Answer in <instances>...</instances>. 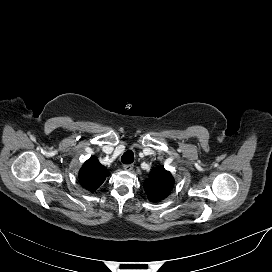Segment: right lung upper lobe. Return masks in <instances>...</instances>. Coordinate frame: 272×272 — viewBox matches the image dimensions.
Masks as SVG:
<instances>
[{
	"label": "right lung upper lobe",
	"mask_w": 272,
	"mask_h": 272,
	"mask_svg": "<svg viewBox=\"0 0 272 272\" xmlns=\"http://www.w3.org/2000/svg\"><path fill=\"white\" fill-rule=\"evenodd\" d=\"M108 175V170L99 163L98 159L90 158L79 171V180L84 188L94 192Z\"/></svg>",
	"instance_id": "right-lung-upper-lobe-1"
}]
</instances>
